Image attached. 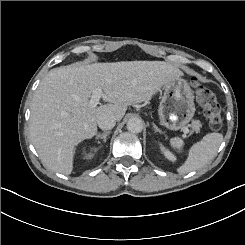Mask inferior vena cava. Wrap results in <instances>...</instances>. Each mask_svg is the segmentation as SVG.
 I'll return each mask as SVG.
<instances>
[{"mask_svg":"<svg viewBox=\"0 0 245 245\" xmlns=\"http://www.w3.org/2000/svg\"><path fill=\"white\" fill-rule=\"evenodd\" d=\"M98 126L103 129H111L115 126V117L113 115L103 113L98 118Z\"/></svg>","mask_w":245,"mask_h":245,"instance_id":"602c4592","label":"inferior vena cava"}]
</instances>
